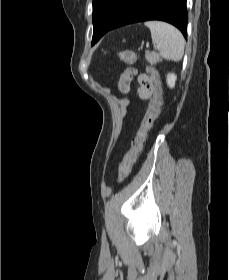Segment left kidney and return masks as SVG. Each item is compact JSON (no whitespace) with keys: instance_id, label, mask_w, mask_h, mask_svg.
<instances>
[{"instance_id":"1","label":"left kidney","mask_w":229,"mask_h":280,"mask_svg":"<svg viewBox=\"0 0 229 280\" xmlns=\"http://www.w3.org/2000/svg\"><path fill=\"white\" fill-rule=\"evenodd\" d=\"M177 76L174 73H168L167 75V84L170 88L175 86Z\"/></svg>"}]
</instances>
